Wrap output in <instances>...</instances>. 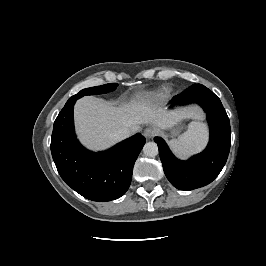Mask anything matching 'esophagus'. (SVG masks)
<instances>
[{
	"label": "esophagus",
	"instance_id": "1",
	"mask_svg": "<svg viewBox=\"0 0 266 266\" xmlns=\"http://www.w3.org/2000/svg\"><path fill=\"white\" fill-rule=\"evenodd\" d=\"M157 134V129L154 127H147L145 128L143 135L145 136V138L147 139H152L154 136H156Z\"/></svg>",
	"mask_w": 266,
	"mask_h": 266
}]
</instances>
